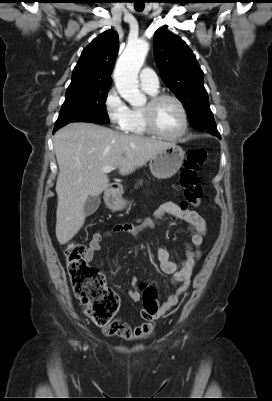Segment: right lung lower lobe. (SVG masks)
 <instances>
[{"label": "right lung lower lobe", "mask_w": 272, "mask_h": 401, "mask_svg": "<svg viewBox=\"0 0 272 401\" xmlns=\"http://www.w3.org/2000/svg\"><path fill=\"white\" fill-rule=\"evenodd\" d=\"M58 129H54V131H53V133L55 132V131H57Z\"/></svg>", "instance_id": "1"}]
</instances>
